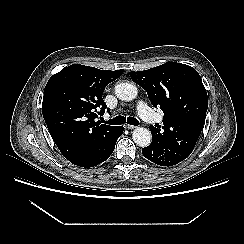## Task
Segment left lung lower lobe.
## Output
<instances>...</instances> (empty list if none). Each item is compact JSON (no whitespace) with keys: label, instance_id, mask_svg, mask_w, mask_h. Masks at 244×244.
Instances as JSON below:
<instances>
[{"label":"left lung lower lobe","instance_id":"left-lung-lower-lobe-1","mask_svg":"<svg viewBox=\"0 0 244 244\" xmlns=\"http://www.w3.org/2000/svg\"><path fill=\"white\" fill-rule=\"evenodd\" d=\"M142 154L145 158H147L148 160L156 163L159 165L160 161H159V158L156 154V152L153 150L152 147L150 146H147L145 148L142 149Z\"/></svg>","mask_w":244,"mask_h":244}]
</instances>
